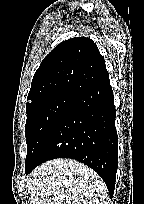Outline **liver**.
Returning a JSON list of instances; mask_svg holds the SVG:
<instances>
[{
    "label": "liver",
    "mask_w": 144,
    "mask_h": 204,
    "mask_svg": "<svg viewBox=\"0 0 144 204\" xmlns=\"http://www.w3.org/2000/svg\"><path fill=\"white\" fill-rule=\"evenodd\" d=\"M31 204H108V189L95 171L69 159L47 161L29 175Z\"/></svg>",
    "instance_id": "obj_1"
}]
</instances>
